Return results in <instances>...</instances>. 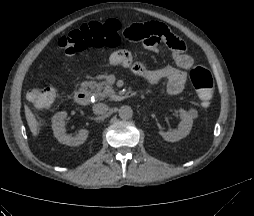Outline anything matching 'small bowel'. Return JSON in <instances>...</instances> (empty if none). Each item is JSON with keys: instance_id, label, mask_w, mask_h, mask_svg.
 I'll return each instance as SVG.
<instances>
[{"instance_id": "obj_1", "label": "small bowel", "mask_w": 254, "mask_h": 216, "mask_svg": "<svg viewBox=\"0 0 254 216\" xmlns=\"http://www.w3.org/2000/svg\"><path fill=\"white\" fill-rule=\"evenodd\" d=\"M125 39L130 44H137L140 41L150 51H158L159 46L166 48L174 54L175 67H165L155 70H145L139 61L133 59L132 54L127 50H116L108 58L111 66H124L142 75L148 90L161 80L167 81L166 90L170 95L180 94L187 81L186 70L192 65V58L186 52L185 43L171 33L169 28L155 22L136 24L125 32Z\"/></svg>"}]
</instances>
